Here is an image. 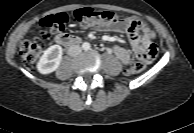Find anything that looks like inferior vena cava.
<instances>
[{
  "label": "inferior vena cava",
  "mask_w": 194,
  "mask_h": 133,
  "mask_svg": "<svg viewBox=\"0 0 194 133\" xmlns=\"http://www.w3.org/2000/svg\"><path fill=\"white\" fill-rule=\"evenodd\" d=\"M82 51L81 47L79 45H72L68 49V55L74 57L80 54Z\"/></svg>",
  "instance_id": "inferior-vena-cava-1"
}]
</instances>
